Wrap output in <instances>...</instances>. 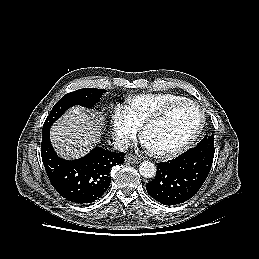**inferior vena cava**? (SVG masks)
<instances>
[{"label":"inferior vena cava","instance_id":"1","mask_svg":"<svg viewBox=\"0 0 259 259\" xmlns=\"http://www.w3.org/2000/svg\"><path fill=\"white\" fill-rule=\"evenodd\" d=\"M114 148L118 151H125L129 148L130 143L124 138H115L113 141Z\"/></svg>","mask_w":259,"mask_h":259}]
</instances>
